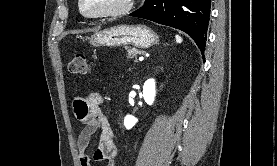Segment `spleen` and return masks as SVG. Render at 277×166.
Masks as SVG:
<instances>
[{
	"mask_svg": "<svg viewBox=\"0 0 277 166\" xmlns=\"http://www.w3.org/2000/svg\"><path fill=\"white\" fill-rule=\"evenodd\" d=\"M176 42L177 43H182V41H183V39H182V37L181 36H179V35H176Z\"/></svg>",
	"mask_w": 277,
	"mask_h": 166,
	"instance_id": "spleen-1",
	"label": "spleen"
}]
</instances>
